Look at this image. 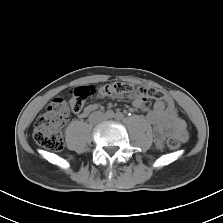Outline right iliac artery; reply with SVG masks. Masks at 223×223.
Here are the masks:
<instances>
[{"mask_svg": "<svg viewBox=\"0 0 223 223\" xmlns=\"http://www.w3.org/2000/svg\"><path fill=\"white\" fill-rule=\"evenodd\" d=\"M107 117L112 118L114 116V112L112 110H108L106 112Z\"/></svg>", "mask_w": 223, "mask_h": 223, "instance_id": "right-iliac-artery-1", "label": "right iliac artery"}]
</instances>
